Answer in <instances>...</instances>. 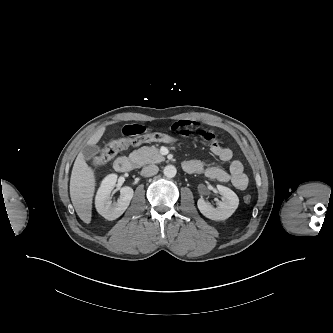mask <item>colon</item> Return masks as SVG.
Instances as JSON below:
<instances>
[{"instance_id": "obj_1", "label": "colon", "mask_w": 333, "mask_h": 333, "mask_svg": "<svg viewBox=\"0 0 333 333\" xmlns=\"http://www.w3.org/2000/svg\"><path fill=\"white\" fill-rule=\"evenodd\" d=\"M150 142H160L167 145H178L180 144L181 141L175 135L162 132H152V133L142 134L136 137H124L111 140L103 147L100 153L94 157L93 164L103 165L108 161H110L120 151L128 148L129 146H138ZM251 200H252L251 195L247 194L244 196L245 203H250Z\"/></svg>"}]
</instances>
